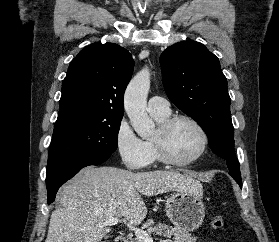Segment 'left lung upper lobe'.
Wrapping results in <instances>:
<instances>
[{"label":"left lung upper lobe","mask_w":279,"mask_h":242,"mask_svg":"<svg viewBox=\"0 0 279 242\" xmlns=\"http://www.w3.org/2000/svg\"><path fill=\"white\" fill-rule=\"evenodd\" d=\"M160 64L171 102L199 123L210 148L227 160L229 174L242 183L234 152L231 99L218 58L199 42L183 41L165 49Z\"/></svg>","instance_id":"obj_1"}]
</instances>
